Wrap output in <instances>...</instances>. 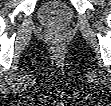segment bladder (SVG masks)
I'll use <instances>...</instances> for the list:
<instances>
[{
	"mask_svg": "<svg viewBox=\"0 0 111 106\" xmlns=\"http://www.w3.org/2000/svg\"><path fill=\"white\" fill-rule=\"evenodd\" d=\"M38 13L40 21L48 27L67 25L74 18L73 8L60 1H49L41 4Z\"/></svg>",
	"mask_w": 111,
	"mask_h": 106,
	"instance_id": "bladder-1",
	"label": "bladder"
}]
</instances>
